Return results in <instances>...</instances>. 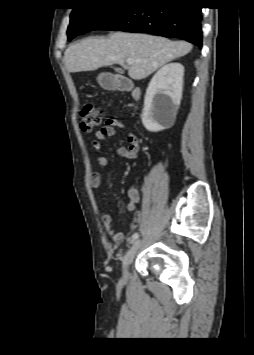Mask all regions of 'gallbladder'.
Listing matches in <instances>:
<instances>
[{
    "label": "gallbladder",
    "instance_id": "1",
    "mask_svg": "<svg viewBox=\"0 0 254 355\" xmlns=\"http://www.w3.org/2000/svg\"><path fill=\"white\" fill-rule=\"evenodd\" d=\"M116 72H121L122 70L120 68H115Z\"/></svg>",
    "mask_w": 254,
    "mask_h": 355
}]
</instances>
